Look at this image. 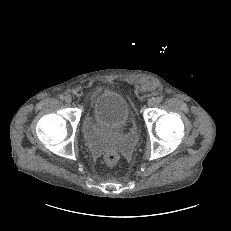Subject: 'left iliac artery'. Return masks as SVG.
<instances>
[{
  "label": "left iliac artery",
  "instance_id": "left-iliac-artery-1",
  "mask_svg": "<svg viewBox=\"0 0 231 231\" xmlns=\"http://www.w3.org/2000/svg\"><path fill=\"white\" fill-rule=\"evenodd\" d=\"M155 101H156V103H160V102H162V97H157L156 99H155Z\"/></svg>",
  "mask_w": 231,
  "mask_h": 231
}]
</instances>
